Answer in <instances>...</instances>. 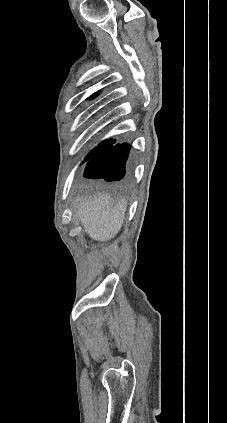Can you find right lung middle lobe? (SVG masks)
<instances>
[{
    "instance_id": "dd1d6c3e",
    "label": "right lung middle lobe",
    "mask_w": 227,
    "mask_h": 423,
    "mask_svg": "<svg viewBox=\"0 0 227 423\" xmlns=\"http://www.w3.org/2000/svg\"><path fill=\"white\" fill-rule=\"evenodd\" d=\"M96 154H93V155H88L87 157H86V159H85V161H87V160H89V159H91L93 156H95Z\"/></svg>"
}]
</instances>
